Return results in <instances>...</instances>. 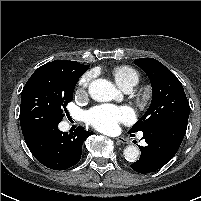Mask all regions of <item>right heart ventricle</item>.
Returning <instances> with one entry per match:
<instances>
[{"label": "right heart ventricle", "mask_w": 201, "mask_h": 201, "mask_svg": "<svg viewBox=\"0 0 201 201\" xmlns=\"http://www.w3.org/2000/svg\"><path fill=\"white\" fill-rule=\"evenodd\" d=\"M111 74L116 84L123 90L129 87L133 88L139 81L138 72L127 65L114 67Z\"/></svg>", "instance_id": "right-heart-ventricle-1"}]
</instances>
